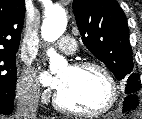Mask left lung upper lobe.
<instances>
[{"label": "left lung upper lobe", "instance_id": "left-lung-upper-lobe-1", "mask_svg": "<svg viewBox=\"0 0 142 119\" xmlns=\"http://www.w3.org/2000/svg\"><path fill=\"white\" fill-rule=\"evenodd\" d=\"M73 11L82 41L118 80L127 82L126 94L141 85L133 73L132 49L126 16L116 0H74Z\"/></svg>", "mask_w": 142, "mask_h": 119}]
</instances>
